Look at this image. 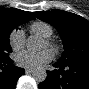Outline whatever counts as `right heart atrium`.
Here are the masks:
<instances>
[{"label": "right heart atrium", "instance_id": "1", "mask_svg": "<svg viewBox=\"0 0 89 89\" xmlns=\"http://www.w3.org/2000/svg\"><path fill=\"white\" fill-rule=\"evenodd\" d=\"M9 43L13 50L18 51L24 47L25 35L22 29H14L9 36Z\"/></svg>", "mask_w": 89, "mask_h": 89}]
</instances>
